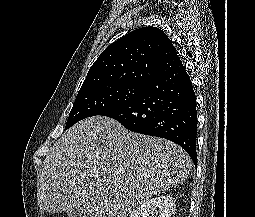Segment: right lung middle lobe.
Returning <instances> with one entry per match:
<instances>
[{
  "label": "right lung middle lobe",
  "instance_id": "dd1d6c3e",
  "mask_svg": "<svg viewBox=\"0 0 255 217\" xmlns=\"http://www.w3.org/2000/svg\"><path fill=\"white\" fill-rule=\"evenodd\" d=\"M147 85L111 84L81 91L69 114L66 129L87 117L102 115L118 109L139 96Z\"/></svg>",
  "mask_w": 255,
  "mask_h": 217
}]
</instances>
